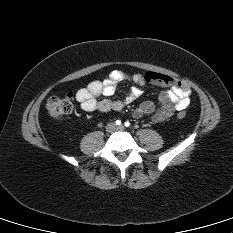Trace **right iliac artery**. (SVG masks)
<instances>
[{"instance_id":"82829eb1","label":"right iliac artery","mask_w":233,"mask_h":233,"mask_svg":"<svg viewBox=\"0 0 233 233\" xmlns=\"http://www.w3.org/2000/svg\"><path fill=\"white\" fill-rule=\"evenodd\" d=\"M116 125H121V121L120 120H116Z\"/></svg>"}]
</instances>
